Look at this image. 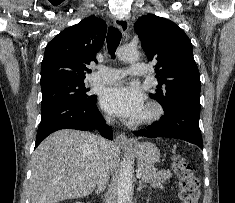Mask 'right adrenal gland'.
<instances>
[{"label": "right adrenal gland", "instance_id": "1", "mask_svg": "<svg viewBox=\"0 0 235 203\" xmlns=\"http://www.w3.org/2000/svg\"><path fill=\"white\" fill-rule=\"evenodd\" d=\"M101 192V190H95V193L98 195Z\"/></svg>", "mask_w": 235, "mask_h": 203}]
</instances>
